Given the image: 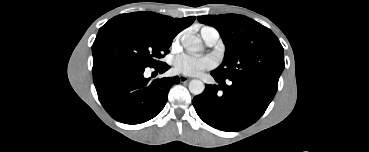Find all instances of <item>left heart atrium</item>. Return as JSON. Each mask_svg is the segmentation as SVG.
Segmentation results:
<instances>
[{"mask_svg": "<svg viewBox=\"0 0 369 152\" xmlns=\"http://www.w3.org/2000/svg\"><path fill=\"white\" fill-rule=\"evenodd\" d=\"M173 65L175 71L178 73L197 76L204 70L210 69L213 66V61L209 57L182 54L174 59Z\"/></svg>", "mask_w": 369, "mask_h": 152, "instance_id": "obj_1", "label": "left heart atrium"}]
</instances>
